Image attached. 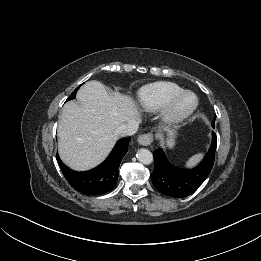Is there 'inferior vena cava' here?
I'll return each mask as SVG.
<instances>
[{"mask_svg":"<svg viewBox=\"0 0 261 261\" xmlns=\"http://www.w3.org/2000/svg\"><path fill=\"white\" fill-rule=\"evenodd\" d=\"M139 128V122L136 120H130L127 123L123 124L118 132L121 136H131L134 135Z\"/></svg>","mask_w":261,"mask_h":261,"instance_id":"1","label":"inferior vena cava"}]
</instances>
